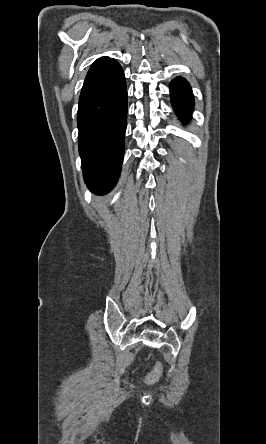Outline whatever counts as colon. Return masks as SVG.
<instances>
[{"instance_id": "colon-1", "label": "colon", "mask_w": 266, "mask_h": 444, "mask_svg": "<svg viewBox=\"0 0 266 444\" xmlns=\"http://www.w3.org/2000/svg\"><path fill=\"white\" fill-rule=\"evenodd\" d=\"M163 371L164 370H163L162 364L161 363H157L155 365V368L152 371V373H150L148 375L147 381L151 382V383L158 381L161 378V376L163 375Z\"/></svg>"}]
</instances>
